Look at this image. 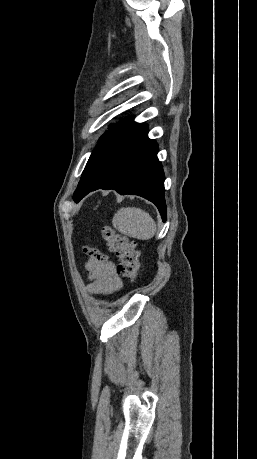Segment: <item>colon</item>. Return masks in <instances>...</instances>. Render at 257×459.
<instances>
[{"mask_svg": "<svg viewBox=\"0 0 257 459\" xmlns=\"http://www.w3.org/2000/svg\"><path fill=\"white\" fill-rule=\"evenodd\" d=\"M102 236L107 241L110 250L119 258L118 275L124 280L134 281L140 270V252L137 243L125 235L118 234L109 226L103 228Z\"/></svg>", "mask_w": 257, "mask_h": 459, "instance_id": "obj_1", "label": "colon"}]
</instances>
